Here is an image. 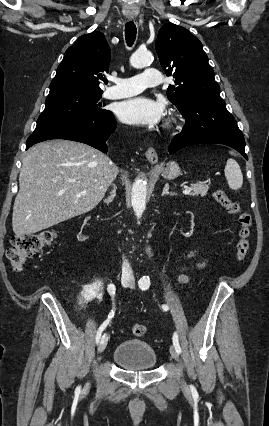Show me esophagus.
Returning a JSON list of instances; mask_svg holds the SVG:
<instances>
[{"label":"esophagus","instance_id":"esophagus-1","mask_svg":"<svg viewBox=\"0 0 269 426\" xmlns=\"http://www.w3.org/2000/svg\"><path fill=\"white\" fill-rule=\"evenodd\" d=\"M129 19L131 20V19H133V17H129ZM145 155H146L147 160L151 164H156L158 162V155H157L154 148H152V147L148 148Z\"/></svg>","mask_w":269,"mask_h":426}]
</instances>
